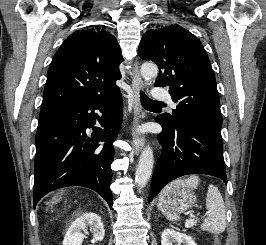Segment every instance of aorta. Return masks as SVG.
<instances>
[{"instance_id":"obj_1","label":"aorta","mask_w":266,"mask_h":245,"mask_svg":"<svg viewBox=\"0 0 266 245\" xmlns=\"http://www.w3.org/2000/svg\"><path fill=\"white\" fill-rule=\"evenodd\" d=\"M140 72L141 76H143L145 80H151V78H155V76H157L158 66L153 64V62H144L140 68ZM153 165V151L151 147H145L139 157V163L135 173V183H137L140 189H144V187H146L152 175Z\"/></svg>"}]
</instances>
